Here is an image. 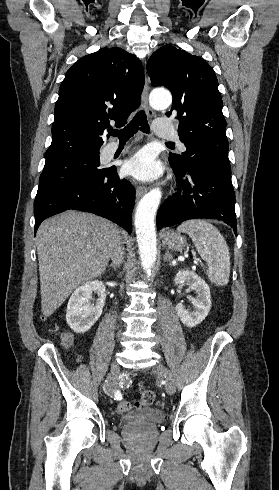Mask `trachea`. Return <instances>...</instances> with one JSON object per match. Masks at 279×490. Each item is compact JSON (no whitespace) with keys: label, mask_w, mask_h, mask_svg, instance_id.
<instances>
[{"label":"trachea","mask_w":279,"mask_h":490,"mask_svg":"<svg viewBox=\"0 0 279 490\" xmlns=\"http://www.w3.org/2000/svg\"><path fill=\"white\" fill-rule=\"evenodd\" d=\"M140 130L144 133H149L150 128L144 111H139L133 120L122 130H108L109 135L112 137H118L121 142L128 140L133 137V135ZM171 143V142H168Z\"/></svg>","instance_id":"1"}]
</instances>
